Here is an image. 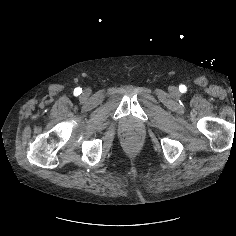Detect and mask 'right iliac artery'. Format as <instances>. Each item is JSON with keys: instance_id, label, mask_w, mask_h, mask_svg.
I'll return each instance as SVG.
<instances>
[{"instance_id": "1", "label": "right iliac artery", "mask_w": 236, "mask_h": 236, "mask_svg": "<svg viewBox=\"0 0 236 236\" xmlns=\"http://www.w3.org/2000/svg\"><path fill=\"white\" fill-rule=\"evenodd\" d=\"M82 93V88H80V87H77V88H75V90H74V95H80Z\"/></svg>"}]
</instances>
